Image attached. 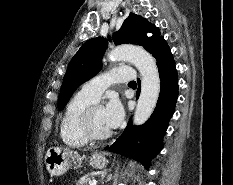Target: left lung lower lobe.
Here are the masks:
<instances>
[{"instance_id":"left-lung-lower-lobe-1","label":"left lung lower lobe","mask_w":233,"mask_h":185,"mask_svg":"<svg viewBox=\"0 0 233 185\" xmlns=\"http://www.w3.org/2000/svg\"><path fill=\"white\" fill-rule=\"evenodd\" d=\"M151 54L156 60L161 80L156 108L148 121L141 126L133 127L129 121L122 135L111 146L105 148L131 157L147 169L151 159L161 150L163 137L175 111L178 97V75L175 61L164 38L158 42ZM139 93L140 89L137 90V97Z\"/></svg>"}]
</instances>
